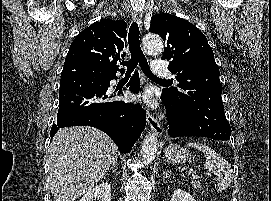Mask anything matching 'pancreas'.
<instances>
[{
  "label": "pancreas",
  "mask_w": 271,
  "mask_h": 201,
  "mask_svg": "<svg viewBox=\"0 0 271 201\" xmlns=\"http://www.w3.org/2000/svg\"><path fill=\"white\" fill-rule=\"evenodd\" d=\"M192 184L197 189H201L202 188L201 183L199 181H193Z\"/></svg>",
  "instance_id": "pancreas-1"
}]
</instances>
